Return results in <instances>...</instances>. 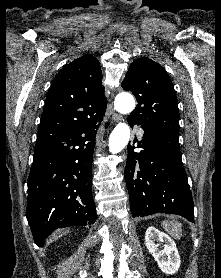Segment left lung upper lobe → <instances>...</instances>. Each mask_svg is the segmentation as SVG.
<instances>
[{"mask_svg": "<svg viewBox=\"0 0 221 278\" xmlns=\"http://www.w3.org/2000/svg\"><path fill=\"white\" fill-rule=\"evenodd\" d=\"M138 105L129 118L149 132L179 133V109L172 81L166 71L149 58L132 62L121 84Z\"/></svg>", "mask_w": 221, "mask_h": 278, "instance_id": "5c2ea615", "label": "left lung upper lobe"}]
</instances>
